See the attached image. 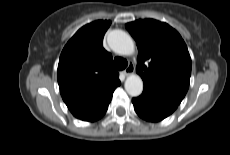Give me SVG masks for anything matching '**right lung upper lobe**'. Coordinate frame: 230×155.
I'll list each match as a JSON object with an SVG mask.
<instances>
[{
    "mask_svg": "<svg viewBox=\"0 0 230 155\" xmlns=\"http://www.w3.org/2000/svg\"><path fill=\"white\" fill-rule=\"evenodd\" d=\"M111 22L98 20L83 26L65 45L59 59L57 79L61 96L78 119L107 106L120 85L112 55L102 41Z\"/></svg>",
    "mask_w": 230,
    "mask_h": 155,
    "instance_id": "cb5924a9",
    "label": "right lung upper lobe"
}]
</instances>
